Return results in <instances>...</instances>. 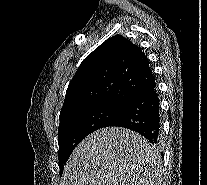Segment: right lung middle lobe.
I'll return each instance as SVG.
<instances>
[{
  "label": "right lung middle lobe",
  "mask_w": 207,
  "mask_h": 185,
  "mask_svg": "<svg viewBox=\"0 0 207 185\" xmlns=\"http://www.w3.org/2000/svg\"><path fill=\"white\" fill-rule=\"evenodd\" d=\"M121 107L103 104L84 109L60 120L58 128L60 174L79 142L90 133L106 127L120 112Z\"/></svg>",
  "instance_id": "obj_1"
}]
</instances>
